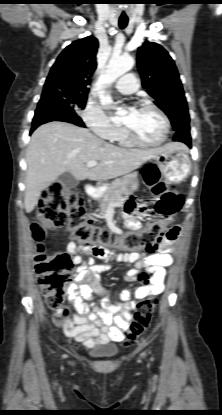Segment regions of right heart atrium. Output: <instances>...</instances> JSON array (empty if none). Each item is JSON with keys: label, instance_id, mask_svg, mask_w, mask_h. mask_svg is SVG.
<instances>
[{"label": "right heart atrium", "instance_id": "obj_1", "mask_svg": "<svg viewBox=\"0 0 222 415\" xmlns=\"http://www.w3.org/2000/svg\"><path fill=\"white\" fill-rule=\"evenodd\" d=\"M84 124L98 137L113 140L121 127L95 102L89 101L81 112Z\"/></svg>", "mask_w": 222, "mask_h": 415}]
</instances>
